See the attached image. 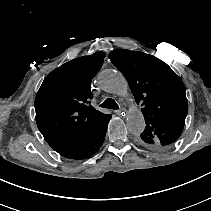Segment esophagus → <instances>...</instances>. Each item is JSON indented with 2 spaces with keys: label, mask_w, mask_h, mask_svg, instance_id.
Wrapping results in <instances>:
<instances>
[{
  "label": "esophagus",
  "mask_w": 211,
  "mask_h": 211,
  "mask_svg": "<svg viewBox=\"0 0 211 211\" xmlns=\"http://www.w3.org/2000/svg\"><path fill=\"white\" fill-rule=\"evenodd\" d=\"M117 115H122L123 113H125V110L123 108L119 109V110H115L114 111Z\"/></svg>",
  "instance_id": "34e87169"
}]
</instances>
